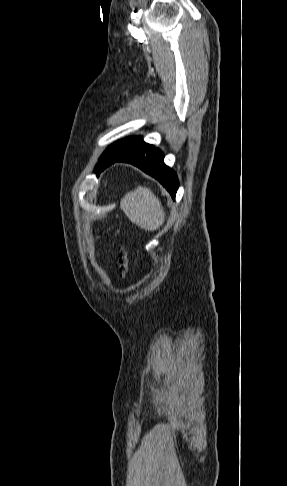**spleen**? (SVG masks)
<instances>
[{
	"mask_svg": "<svg viewBox=\"0 0 287 486\" xmlns=\"http://www.w3.org/2000/svg\"><path fill=\"white\" fill-rule=\"evenodd\" d=\"M120 208L139 227L154 231L165 221V212L154 193L147 187L138 186L121 200Z\"/></svg>",
	"mask_w": 287,
	"mask_h": 486,
	"instance_id": "3e777b00",
	"label": "spleen"
}]
</instances>
